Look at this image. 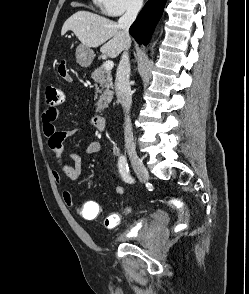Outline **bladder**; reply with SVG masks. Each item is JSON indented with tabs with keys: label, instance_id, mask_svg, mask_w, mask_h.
I'll list each match as a JSON object with an SVG mask.
<instances>
[{
	"label": "bladder",
	"instance_id": "obj_1",
	"mask_svg": "<svg viewBox=\"0 0 249 294\" xmlns=\"http://www.w3.org/2000/svg\"><path fill=\"white\" fill-rule=\"evenodd\" d=\"M168 220L169 217L167 215L156 216L153 220L141 217L128 230L120 233L117 239L120 242H128L130 240L142 241L155 233Z\"/></svg>",
	"mask_w": 249,
	"mask_h": 294
}]
</instances>
